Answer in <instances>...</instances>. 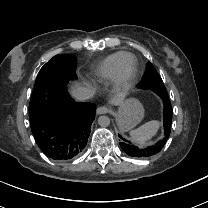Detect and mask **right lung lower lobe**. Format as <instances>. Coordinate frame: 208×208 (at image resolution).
<instances>
[{
  "label": "right lung lower lobe",
  "mask_w": 208,
  "mask_h": 208,
  "mask_svg": "<svg viewBox=\"0 0 208 208\" xmlns=\"http://www.w3.org/2000/svg\"><path fill=\"white\" fill-rule=\"evenodd\" d=\"M57 67L48 71L33 90L29 109L31 130L42 152L64 161L78 156L87 144L96 106L75 102L59 83Z\"/></svg>",
  "instance_id": "right-lung-lower-lobe-1"
}]
</instances>
